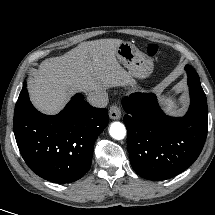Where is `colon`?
Instances as JSON below:
<instances>
[{"label": "colon", "mask_w": 215, "mask_h": 215, "mask_svg": "<svg viewBox=\"0 0 215 215\" xmlns=\"http://www.w3.org/2000/svg\"><path fill=\"white\" fill-rule=\"evenodd\" d=\"M147 53L152 57H163L165 53L156 44H149L147 46Z\"/></svg>", "instance_id": "5ec220e1"}]
</instances>
